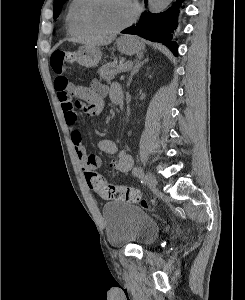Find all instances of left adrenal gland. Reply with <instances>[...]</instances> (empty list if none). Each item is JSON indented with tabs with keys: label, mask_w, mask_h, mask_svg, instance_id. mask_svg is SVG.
<instances>
[{
	"label": "left adrenal gland",
	"mask_w": 245,
	"mask_h": 300,
	"mask_svg": "<svg viewBox=\"0 0 245 300\" xmlns=\"http://www.w3.org/2000/svg\"><path fill=\"white\" fill-rule=\"evenodd\" d=\"M140 60L141 59L135 60V65H134L133 69L131 70L129 80L127 82V87L130 86L133 76L136 75L139 72V70L141 69V67H143V65L149 61L148 59H145L144 61H140Z\"/></svg>",
	"instance_id": "1"
}]
</instances>
